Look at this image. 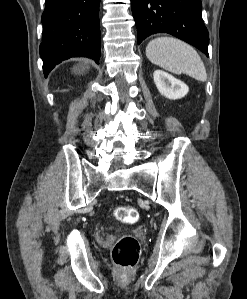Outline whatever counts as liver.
Returning a JSON list of instances; mask_svg holds the SVG:
<instances>
[{"mask_svg":"<svg viewBox=\"0 0 247 299\" xmlns=\"http://www.w3.org/2000/svg\"><path fill=\"white\" fill-rule=\"evenodd\" d=\"M86 70H88V66L83 65V64L77 65L76 67L73 68L74 73H77V74H82Z\"/></svg>","mask_w":247,"mask_h":299,"instance_id":"liver-1","label":"liver"}]
</instances>
